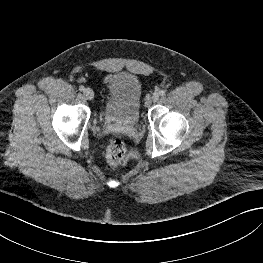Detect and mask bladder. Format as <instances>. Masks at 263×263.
I'll return each mask as SVG.
<instances>
[{
    "label": "bladder",
    "mask_w": 263,
    "mask_h": 263,
    "mask_svg": "<svg viewBox=\"0 0 263 263\" xmlns=\"http://www.w3.org/2000/svg\"><path fill=\"white\" fill-rule=\"evenodd\" d=\"M105 103L103 119L128 127H136L140 122L142 84L132 74L114 73L103 80Z\"/></svg>",
    "instance_id": "31cf9c89"
}]
</instances>
